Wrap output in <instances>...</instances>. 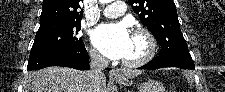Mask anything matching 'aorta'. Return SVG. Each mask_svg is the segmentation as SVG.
Instances as JSON below:
<instances>
[{"mask_svg":"<svg viewBox=\"0 0 225 92\" xmlns=\"http://www.w3.org/2000/svg\"><path fill=\"white\" fill-rule=\"evenodd\" d=\"M111 0H100L101 3H107L110 2Z\"/></svg>","mask_w":225,"mask_h":92,"instance_id":"1","label":"aorta"}]
</instances>
